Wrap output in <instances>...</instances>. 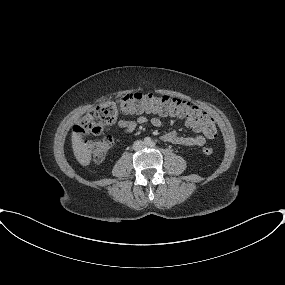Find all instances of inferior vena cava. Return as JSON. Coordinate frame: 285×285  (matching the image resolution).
<instances>
[{
    "label": "inferior vena cava",
    "mask_w": 285,
    "mask_h": 285,
    "mask_svg": "<svg viewBox=\"0 0 285 285\" xmlns=\"http://www.w3.org/2000/svg\"><path fill=\"white\" fill-rule=\"evenodd\" d=\"M146 147L145 143L141 140H137L133 144V149L136 151L142 150Z\"/></svg>",
    "instance_id": "inferior-vena-cava-1"
}]
</instances>
